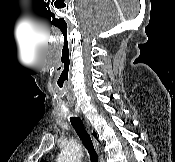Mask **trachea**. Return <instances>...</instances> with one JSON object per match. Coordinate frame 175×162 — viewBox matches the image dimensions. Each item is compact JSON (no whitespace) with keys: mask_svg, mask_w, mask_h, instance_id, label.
I'll return each mask as SVG.
<instances>
[{"mask_svg":"<svg viewBox=\"0 0 175 162\" xmlns=\"http://www.w3.org/2000/svg\"><path fill=\"white\" fill-rule=\"evenodd\" d=\"M70 122L73 128L75 129L77 135L79 136L80 140L82 141L83 145L87 149L90 156V161L98 162V156L94 149L92 140L89 134L87 133L81 119L79 117H70Z\"/></svg>","mask_w":175,"mask_h":162,"instance_id":"trachea-1","label":"trachea"}]
</instances>
